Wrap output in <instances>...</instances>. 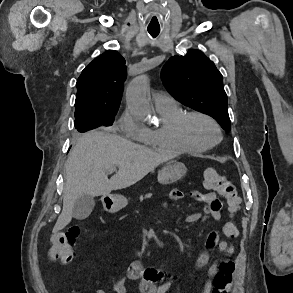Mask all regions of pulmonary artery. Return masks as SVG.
<instances>
[{"instance_id":"1","label":"pulmonary artery","mask_w":293,"mask_h":293,"mask_svg":"<svg viewBox=\"0 0 293 293\" xmlns=\"http://www.w3.org/2000/svg\"><path fill=\"white\" fill-rule=\"evenodd\" d=\"M175 103V99L165 92H157L154 94V104L156 108L170 106Z\"/></svg>"}]
</instances>
